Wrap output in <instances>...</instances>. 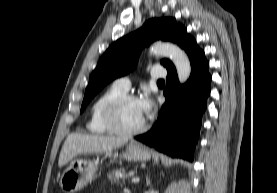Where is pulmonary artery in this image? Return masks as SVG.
<instances>
[{
	"label": "pulmonary artery",
	"mask_w": 277,
	"mask_h": 193,
	"mask_svg": "<svg viewBox=\"0 0 277 193\" xmlns=\"http://www.w3.org/2000/svg\"><path fill=\"white\" fill-rule=\"evenodd\" d=\"M150 74L152 78L158 79L165 77L166 71L161 67H153ZM114 84L124 92L128 91L131 86V82L128 77L118 78L115 80Z\"/></svg>",
	"instance_id": "e3ab8cb5"
}]
</instances>
